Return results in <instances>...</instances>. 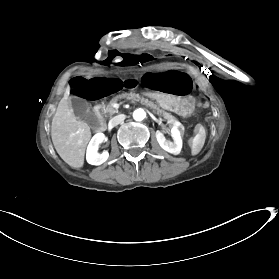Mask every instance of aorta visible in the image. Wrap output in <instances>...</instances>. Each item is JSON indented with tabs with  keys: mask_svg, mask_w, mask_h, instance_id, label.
I'll use <instances>...</instances> for the list:
<instances>
[{
	"mask_svg": "<svg viewBox=\"0 0 279 279\" xmlns=\"http://www.w3.org/2000/svg\"><path fill=\"white\" fill-rule=\"evenodd\" d=\"M145 117H146V112L141 108H138L133 112V118L136 121H142Z\"/></svg>",
	"mask_w": 279,
	"mask_h": 279,
	"instance_id": "762f6f07",
	"label": "aorta"
}]
</instances>
